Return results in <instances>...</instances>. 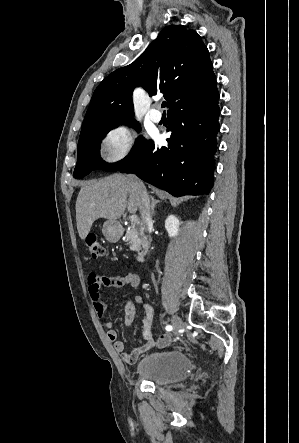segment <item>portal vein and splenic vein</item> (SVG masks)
Segmentation results:
<instances>
[{
    "instance_id": "18ae733b",
    "label": "portal vein and splenic vein",
    "mask_w": 299,
    "mask_h": 443,
    "mask_svg": "<svg viewBox=\"0 0 299 443\" xmlns=\"http://www.w3.org/2000/svg\"><path fill=\"white\" fill-rule=\"evenodd\" d=\"M130 222H131V224H137L139 221H138V217L136 216V215H132V216H130Z\"/></svg>"
}]
</instances>
